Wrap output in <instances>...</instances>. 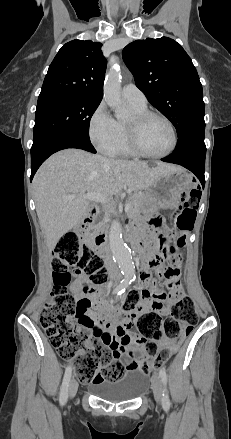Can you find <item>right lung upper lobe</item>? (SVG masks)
Segmentation results:
<instances>
[{
	"instance_id": "obj_1",
	"label": "right lung upper lobe",
	"mask_w": 231,
	"mask_h": 439,
	"mask_svg": "<svg viewBox=\"0 0 231 439\" xmlns=\"http://www.w3.org/2000/svg\"><path fill=\"white\" fill-rule=\"evenodd\" d=\"M101 46L91 40L66 43L49 66L38 101L60 96L101 101L107 63Z\"/></svg>"
}]
</instances>
